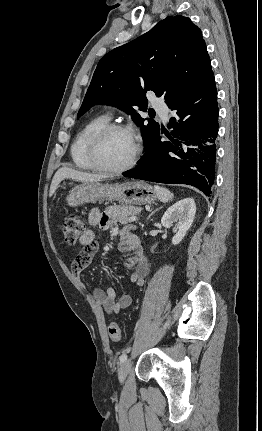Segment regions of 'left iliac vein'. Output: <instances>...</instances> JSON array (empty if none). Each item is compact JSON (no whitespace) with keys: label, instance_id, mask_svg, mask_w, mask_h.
I'll use <instances>...</instances> for the list:
<instances>
[{"label":"left iliac vein","instance_id":"4c4485c4","mask_svg":"<svg viewBox=\"0 0 262 431\" xmlns=\"http://www.w3.org/2000/svg\"><path fill=\"white\" fill-rule=\"evenodd\" d=\"M130 366H131V361L128 359L126 361H124L119 369V380L121 382H123L130 370Z\"/></svg>","mask_w":262,"mask_h":431}]
</instances>
